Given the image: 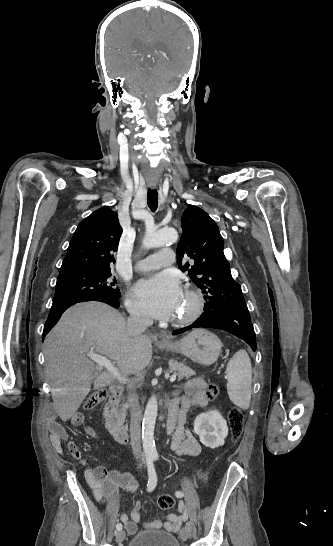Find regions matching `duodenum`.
Returning <instances> with one entry per match:
<instances>
[{"instance_id": "1", "label": "duodenum", "mask_w": 333, "mask_h": 546, "mask_svg": "<svg viewBox=\"0 0 333 546\" xmlns=\"http://www.w3.org/2000/svg\"><path fill=\"white\" fill-rule=\"evenodd\" d=\"M121 394V386L115 385L110 388V395L104 413L109 434L119 443H128L129 430L119 409Z\"/></svg>"}]
</instances>
